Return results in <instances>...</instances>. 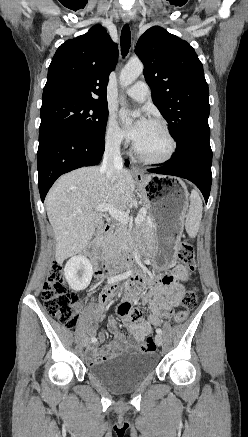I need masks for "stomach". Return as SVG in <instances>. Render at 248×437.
Masks as SVG:
<instances>
[{
    "label": "stomach",
    "instance_id": "stomach-1",
    "mask_svg": "<svg viewBox=\"0 0 248 437\" xmlns=\"http://www.w3.org/2000/svg\"><path fill=\"white\" fill-rule=\"evenodd\" d=\"M152 218L158 242L155 265L172 259L183 230L188 208V192L184 183L163 175H141L136 178Z\"/></svg>",
    "mask_w": 248,
    "mask_h": 437
}]
</instances>
